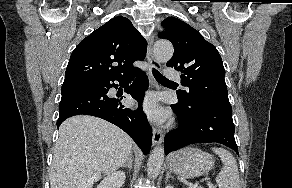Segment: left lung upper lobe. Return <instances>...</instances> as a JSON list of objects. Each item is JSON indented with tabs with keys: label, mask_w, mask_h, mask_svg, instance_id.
<instances>
[{
	"label": "left lung upper lobe",
	"mask_w": 292,
	"mask_h": 188,
	"mask_svg": "<svg viewBox=\"0 0 292 188\" xmlns=\"http://www.w3.org/2000/svg\"><path fill=\"white\" fill-rule=\"evenodd\" d=\"M162 26L165 32L160 38L168 39L174 46L167 66L181 71V82L189 88L177 91L178 100L186 104L229 103L225 69L217 49L197 30L175 17L163 20Z\"/></svg>",
	"instance_id": "left-lung-upper-lobe-1"
}]
</instances>
